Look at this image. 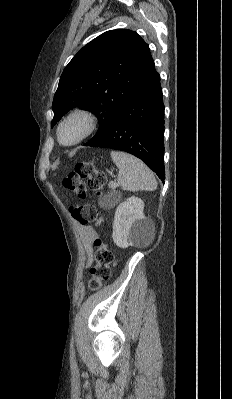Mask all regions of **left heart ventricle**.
<instances>
[{"label": "left heart ventricle", "instance_id": "left-heart-ventricle-1", "mask_svg": "<svg viewBox=\"0 0 232 399\" xmlns=\"http://www.w3.org/2000/svg\"><path fill=\"white\" fill-rule=\"evenodd\" d=\"M86 129V121L83 117H74L66 122L61 129V139L64 143H70L79 138Z\"/></svg>", "mask_w": 232, "mask_h": 399}]
</instances>
